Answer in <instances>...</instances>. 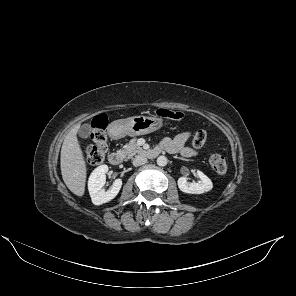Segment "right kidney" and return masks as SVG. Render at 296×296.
<instances>
[{"label": "right kidney", "mask_w": 296, "mask_h": 296, "mask_svg": "<svg viewBox=\"0 0 296 296\" xmlns=\"http://www.w3.org/2000/svg\"><path fill=\"white\" fill-rule=\"evenodd\" d=\"M108 172L107 165L97 167L90 175L88 180V190L94 205H101L114 199L119 193L122 180L116 179L113 182L111 189L105 191L103 186L106 183V173Z\"/></svg>", "instance_id": "1"}]
</instances>
